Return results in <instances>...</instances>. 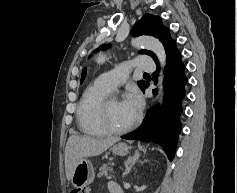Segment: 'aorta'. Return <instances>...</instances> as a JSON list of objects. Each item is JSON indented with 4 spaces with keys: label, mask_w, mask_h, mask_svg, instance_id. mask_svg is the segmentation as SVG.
<instances>
[{
    "label": "aorta",
    "mask_w": 237,
    "mask_h": 193,
    "mask_svg": "<svg viewBox=\"0 0 237 193\" xmlns=\"http://www.w3.org/2000/svg\"><path fill=\"white\" fill-rule=\"evenodd\" d=\"M131 44L135 48H146L155 53L158 58V61L161 66V71L158 78V93L156 95V99L159 98L161 90H162V83H163V69L166 64V52L164 49L163 44L155 37L143 35L139 36L131 41Z\"/></svg>",
    "instance_id": "obj_1"
}]
</instances>
